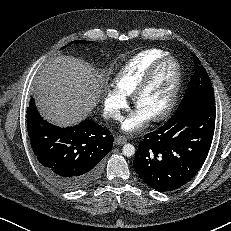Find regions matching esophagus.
<instances>
[{
    "label": "esophagus",
    "mask_w": 231,
    "mask_h": 231,
    "mask_svg": "<svg viewBox=\"0 0 231 231\" xmlns=\"http://www.w3.org/2000/svg\"><path fill=\"white\" fill-rule=\"evenodd\" d=\"M127 142L126 138L123 136H118L115 138V144L116 145H123Z\"/></svg>",
    "instance_id": "obj_1"
}]
</instances>
